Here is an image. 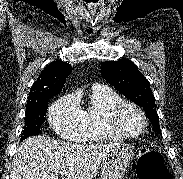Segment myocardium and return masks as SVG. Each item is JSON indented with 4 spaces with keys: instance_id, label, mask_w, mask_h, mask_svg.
<instances>
[{
    "instance_id": "myocardium-1",
    "label": "myocardium",
    "mask_w": 183,
    "mask_h": 179,
    "mask_svg": "<svg viewBox=\"0 0 183 179\" xmlns=\"http://www.w3.org/2000/svg\"><path fill=\"white\" fill-rule=\"evenodd\" d=\"M126 107H131V108L135 109L142 118L143 126L136 133H132V134L125 133L118 126V118H119L121 112L123 111V109H125ZM105 125L108 128V130L112 134H114L116 137L130 139V138L139 137L146 131L147 126H148V120H147V116H146L145 112L139 105H137L136 103L131 102V101L121 100V101L117 102L116 104H114L108 110V112L105 116Z\"/></svg>"
}]
</instances>
